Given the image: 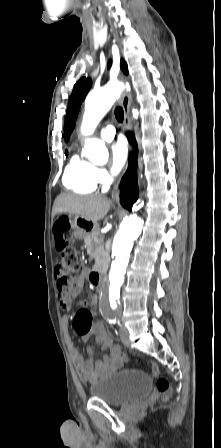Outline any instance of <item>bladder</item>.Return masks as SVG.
<instances>
[{
	"label": "bladder",
	"mask_w": 221,
	"mask_h": 448,
	"mask_svg": "<svg viewBox=\"0 0 221 448\" xmlns=\"http://www.w3.org/2000/svg\"><path fill=\"white\" fill-rule=\"evenodd\" d=\"M152 379L142 370L124 368L113 371L90 384L91 397L118 407L146 398Z\"/></svg>",
	"instance_id": "1"
}]
</instances>
